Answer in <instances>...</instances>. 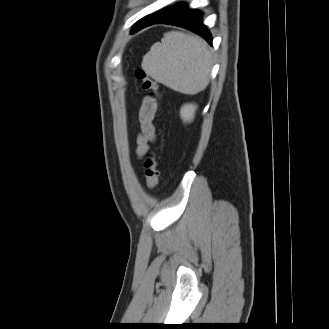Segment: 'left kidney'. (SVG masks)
I'll use <instances>...</instances> for the list:
<instances>
[{
  "label": "left kidney",
  "mask_w": 329,
  "mask_h": 329,
  "mask_svg": "<svg viewBox=\"0 0 329 329\" xmlns=\"http://www.w3.org/2000/svg\"><path fill=\"white\" fill-rule=\"evenodd\" d=\"M197 106L194 104H186L180 110V116L184 122H191L194 118Z\"/></svg>",
  "instance_id": "1"
}]
</instances>
